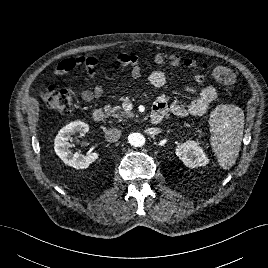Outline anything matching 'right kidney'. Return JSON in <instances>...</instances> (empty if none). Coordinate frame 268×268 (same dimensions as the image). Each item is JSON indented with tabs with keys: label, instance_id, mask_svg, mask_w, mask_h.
I'll list each match as a JSON object with an SVG mask.
<instances>
[{
	"label": "right kidney",
	"instance_id": "right-kidney-1",
	"mask_svg": "<svg viewBox=\"0 0 268 268\" xmlns=\"http://www.w3.org/2000/svg\"><path fill=\"white\" fill-rule=\"evenodd\" d=\"M89 131V125L85 122L74 121L60 129L54 141V150L59 158L67 165L75 169H86L91 163L98 159L99 154L96 152L86 156L76 152L73 153L69 148L72 146L68 141L71 135L80 133L86 134Z\"/></svg>",
	"mask_w": 268,
	"mask_h": 268
}]
</instances>
